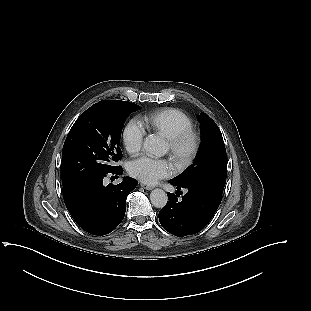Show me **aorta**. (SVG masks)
Here are the masks:
<instances>
[{
	"mask_svg": "<svg viewBox=\"0 0 311 311\" xmlns=\"http://www.w3.org/2000/svg\"><path fill=\"white\" fill-rule=\"evenodd\" d=\"M143 148L147 153L158 157L166 154L164 141L155 135H149L146 137L143 143ZM150 201L154 207L163 208L167 204L168 196L164 190L156 188L150 193Z\"/></svg>",
	"mask_w": 311,
	"mask_h": 311,
	"instance_id": "1",
	"label": "aorta"
}]
</instances>
